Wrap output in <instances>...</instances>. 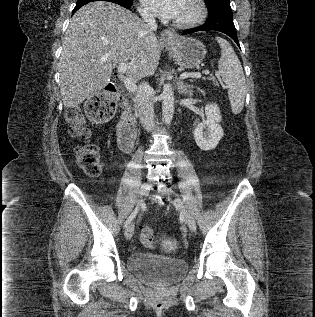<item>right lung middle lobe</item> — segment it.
Instances as JSON below:
<instances>
[{"mask_svg":"<svg viewBox=\"0 0 315 317\" xmlns=\"http://www.w3.org/2000/svg\"><path fill=\"white\" fill-rule=\"evenodd\" d=\"M92 1H96V0H77V3L92 2ZM120 1H123V2H126V3H130V4L133 3V0H120Z\"/></svg>","mask_w":315,"mask_h":317,"instance_id":"dd1d6c3e","label":"right lung middle lobe"}]
</instances>
